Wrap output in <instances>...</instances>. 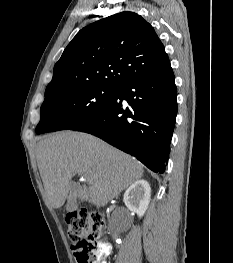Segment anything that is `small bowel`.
<instances>
[{
    "mask_svg": "<svg viewBox=\"0 0 233 263\" xmlns=\"http://www.w3.org/2000/svg\"><path fill=\"white\" fill-rule=\"evenodd\" d=\"M112 251V246L109 244V243H106L104 246H103V258H106L110 255ZM102 263H107L105 260L102 261Z\"/></svg>",
    "mask_w": 233,
    "mask_h": 263,
    "instance_id": "small-bowel-1",
    "label": "small bowel"
}]
</instances>
